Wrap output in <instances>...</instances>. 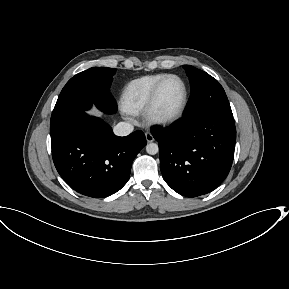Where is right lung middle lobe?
I'll use <instances>...</instances> for the list:
<instances>
[{
  "mask_svg": "<svg viewBox=\"0 0 289 289\" xmlns=\"http://www.w3.org/2000/svg\"><path fill=\"white\" fill-rule=\"evenodd\" d=\"M114 68L95 67L72 77L62 89L50 122V134L55 133L94 103L108 114L116 112V104L109 94Z\"/></svg>",
  "mask_w": 289,
  "mask_h": 289,
  "instance_id": "dd1d6c3e",
  "label": "right lung middle lobe"
}]
</instances>
